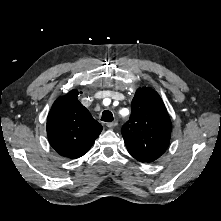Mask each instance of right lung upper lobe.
Returning a JSON list of instances; mask_svg holds the SVG:
<instances>
[{"mask_svg":"<svg viewBox=\"0 0 221 221\" xmlns=\"http://www.w3.org/2000/svg\"><path fill=\"white\" fill-rule=\"evenodd\" d=\"M78 94L77 90H71L59 97L47 118L51 146L61 156L71 159L87 153L103 128L78 101Z\"/></svg>","mask_w":221,"mask_h":221,"instance_id":"obj_1","label":"right lung upper lobe"}]
</instances>
